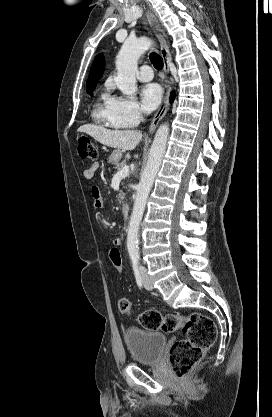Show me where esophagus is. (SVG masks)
I'll return each instance as SVG.
<instances>
[{
	"label": "esophagus",
	"mask_w": 272,
	"mask_h": 417,
	"mask_svg": "<svg viewBox=\"0 0 272 417\" xmlns=\"http://www.w3.org/2000/svg\"><path fill=\"white\" fill-rule=\"evenodd\" d=\"M148 17L150 19V21L152 22L153 28L155 30L156 36L159 40L160 43V50H161V57L163 59V63H164V71L166 74H169V62L171 59L170 56V52H169V48L166 42V39L164 38V36L161 33V28H160V24L157 20V18L155 17V15L148 10L147 11ZM172 91V85L171 82L168 80V84H167V91H166V96L163 100V103L161 104L159 110L157 111V113L155 114L150 127H149V132L153 133L155 131V129L157 128L159 122L162 120V118L165 116L168 108H169V98H170V94Z\"/></svg>",
	"instance_id": "esophagus-1"
}]
</instances>
